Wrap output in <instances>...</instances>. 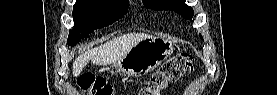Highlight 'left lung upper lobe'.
Listing matches in <instances>:
<instances>
[{
	"label": "left lung upper lobe",
	"instance_id": "obj_1",
	"mask_svg": "<svg viewBox=\"0 0 277 95\" xmlns=\"http://www.w3.org/2000/svg\"><path fill=\"white\" fill-rule=\"evenodd\" d=\"M143 4L154 10H174L185 19H191L194 12L185 0H142Z\"/></svg>",
	"mask_w": 277,
	"mask_h": 95
}]
</instances>
